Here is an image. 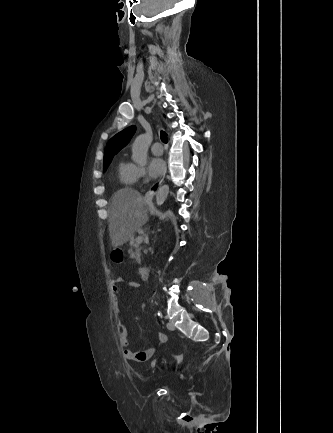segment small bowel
<instances>
[{"label":"small bowel","mask_w":333,"mask_h":433,"mask_svg":"<svg viewBox=\"0 0 333 433\" xmlns=\"http://www.w3.org/2000/svg\"><path fill=\"white\" fill-rule=\"evenodd\" d=\"M124 283L125 281L122 277H115L112 280V289L115 294L114 310L117 315L121 313V309L119 305V296L122 295L121 285ZM125 285L129 287H138L139 284L138 282L132 281V282L125 283ZM118 330H119V341L121 346L124 348L123 355L127 360L130 361L144 362L150 360L156 353L157 349L167 342V336L164 333L160 332L157 334V340L155 344L151 345L150 347H148L143 351L135 352L129 348L130 338H129L128 330L123 323L119 324Z\"/></svg>","instance_id":"obj_1"}]
</instances>
